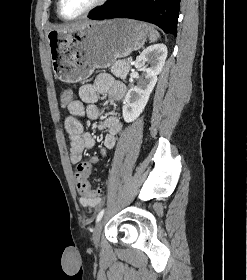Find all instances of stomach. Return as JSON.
Wrapping results in <instances>:
<instances>
[{
	"label": "stomach",
	"instance_id": "1",
	"mask_svg": "<svg viewBox=\"0 0 247 280\" xmlns=\"http://www.w3.org/2000/svg\"><path fill=\"white\" fill-rule=\"evenodd\" d=\"M148 26L131 19L92 22L84 28L47 34L55 76L76 83L88 78L96 68H107L120 58L140 49Z\"/></svg>",
	"mask_w": 247,
	"mask_h": 280
}]
</instances>
